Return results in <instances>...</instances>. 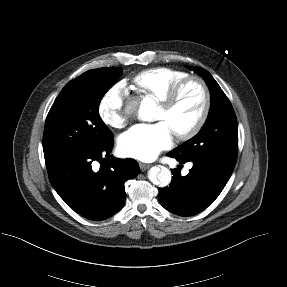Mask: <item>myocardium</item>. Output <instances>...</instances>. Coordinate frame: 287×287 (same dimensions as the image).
Listing matches in <instances>:
<instances>
[{
	"label": "myocardium",
	"mask_w": 287,
	"mask_h": 287,
	"mask_svg": "<svg viewBox=\"0 0 287 287\" xmlns=\"http://www.w3.org/2000/svg\"><path fill=\"white\" fill-rule=\"evenodd\" d=\"M192 83H196L202 90L203 98H204L203 108H202L199 118L189 129L182 131V132L174 133L175 137L181 141L189 140L192 137H194L196 134H198L208 119V116L211 110V103H212L211 93H210L208 85L202 78L198 76H188L187 78L177 83L169 91L166 97L160 101V107L165 112L172 111L177 105L185 88Z\"/></svg>",
	"instance_id": "myocardium-1"
}]
</instances>
